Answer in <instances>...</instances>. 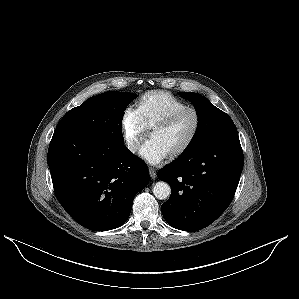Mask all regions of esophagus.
<instances>
[{"mask_svg":"<svg viewBox=\"0 0 299 299\" xmlns=\"http://www.w3.org/2000/svg\"><path fill=\"white\" fill-rule=\"evenodd\" d=\"M149 174L152 179H155L157 176L156 171L153 168H149Z\"/></svg>","mask_w":299,"mask_h":299,"instance_id":"obj_1","label":"esophagus"}]
</instances>
